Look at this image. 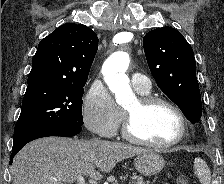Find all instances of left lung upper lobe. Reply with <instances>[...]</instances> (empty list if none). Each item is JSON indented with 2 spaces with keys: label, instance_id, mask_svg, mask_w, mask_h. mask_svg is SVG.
I'll list each match as a JSON object with an SVG mask.
<instances>
[{
  "label": "left lung upper lobe",
  "instance_id": "obj_1",
  "mask_svg": "<svg viewBox=\"0 0 224 184\" xmlns=\"http://www.w3.org/2000/svg\"><path fill=\"white\" fill-rule=\"evenodd\" d=\"M148 66L159 88L195 124L202 116L193 49L172 27L157 28L143 38Z\"/></svg>",
  "mask_w": 224,
  "mask_h": 184
}]
</instances>
